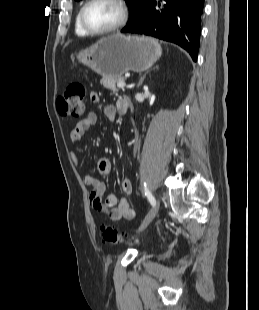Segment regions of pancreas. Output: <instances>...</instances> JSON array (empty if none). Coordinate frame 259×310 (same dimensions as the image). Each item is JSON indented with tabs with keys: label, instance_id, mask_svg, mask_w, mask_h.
Instances as JSON below:
<instances>
[{
	"label": "pancreas",
	"instance_id": "pancreas-1",
	"mask_svg": "<svg viewBox=\"0 0 259 310\" xmlns=\"http://www.w3.org/2000/svg\"><path fill=\"white\" fill-rule=\"evenodd\" d=\"M124 77H103L100 81V83L107 89H110L114 93L118 92V88L116 87V84L118 82H124Z\"/></svg>",
	"mask_w": 259,
	"mask_h": 310
}]
</instances>
